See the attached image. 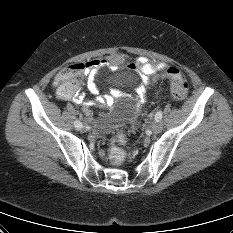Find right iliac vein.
Listing matches in <instances>:
<instances>
[{
    "label": "right iliac vein",
    "instance_id": "63e3f726",
    "mask_svg": "<svg viewBox=\"0 0 233 233\" xmlns=\"http://www.w3.org/2000/svg\"><path fill=\"white\" fill-rule=\"evenodd\" d=\"M79 132L83 133L84 135H87L89 133V130L87 129L86 126H80L79 127Z\"/></svg>",
    "mask_w": 233,
    "mask_h": 233
}]
</instances>
